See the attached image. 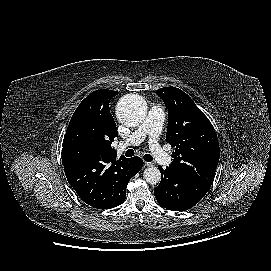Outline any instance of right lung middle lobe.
I'll list each match as a JSON object with an SVG mask.
<instances>
[{
	"instance_id": "1",
	"label": "right lung middle lobe",
	"mask_w": 271,
	"mask_h": 271,
	"mask_svg": "<svg viewBox=\"0 0 271 271\" xmlns=\"http://www.w3.org/2000/svg\"><path fill=\"white\" fill-rule=\"evenodd\" d=\"M98 131L93 124L80 120L72 126H68L63 139L62 150H75L92 152L96 151V140Z\"/></svg>"
}]
</instances>
